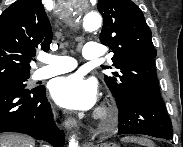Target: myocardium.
I'll return each mask as SVG.
<instances>
[{
  "label": "myocardium",
  "instance_id": "f54148a6",
  "mask_svg": "<svg viewBox=\"0 0 183 147\" xmlns=\"http://www.w3.org/2000/svg\"><path fill=\"white\" fill-rule=\"evenodd\" d=\"M95 118L100 121L113 120L116 118V112L111 106L102 105L96 110Z\"/></svg>",
  "mask_w": 183,
  "mask_h": 147
}]
</instances>
